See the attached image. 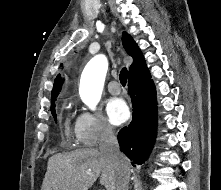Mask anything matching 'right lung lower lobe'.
Instances as JSON below:
<instances>
[{"label": "right lung lower lobe", "instance_id": "obj_1", "mask_svg": "<svg viewBox=\"0 0 221 190\" xmlns=\"http://www.w3.org/2000/svg\"><path fill=\"white\" fill-rule=\"evenodd\" d=\"M129 94L133 105V120L118 134L120 150L134 164L141 165L154 145L157 126L156 91L150 74L129 79Z\"/></svg>", "mask_w": 221, "mask_h": 190}]
</instances>
